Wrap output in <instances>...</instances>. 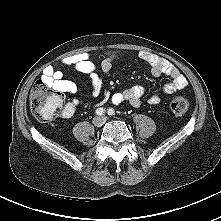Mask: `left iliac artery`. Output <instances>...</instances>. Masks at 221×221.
I'll use <instances>...</instances> for the list:
<instances>
[{"label":"left iliac artery","mask_w":221,"mask_h":221,"mask_svg":"<svg viewBox=\"0 0 221 221\" xmlns=\"http://www.w3.org/2000/svg\"><path fill=\"white\" fill-rule=\"evenodd\" d=\"M107 113H108V115L111 116V115L115 114V111L112 108H110V109H108Z\"/></svg>","instance_id":"obj_1"}]
</instances>
